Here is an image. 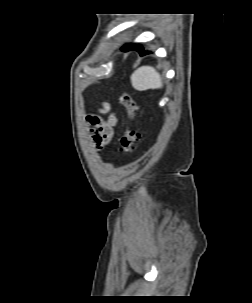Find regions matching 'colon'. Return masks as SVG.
Returning a JSON list of instances; mask_svg holds the SVG:
<instances>
[{
    "label": "colon",
    "mask_w": 252,
    "mask_h": 303,
    "mask_svg": "<svg viewBox=\"0 0 252 303\" xmlns=\"http://www.w3.org/2000/svg\"><path fill=\"white\" fill-rule=\"evenodd\" d=\"M120 102L126 109L127 118L129 121H132L138 111V105L135 102L134 98L129 92H122L120 95ZM139 140V135L132 130L130 127H127L122 135L121 149L124 155H132L135 144Z\"/></svg>",
    "instance_id": "1"
}]
</instances>
